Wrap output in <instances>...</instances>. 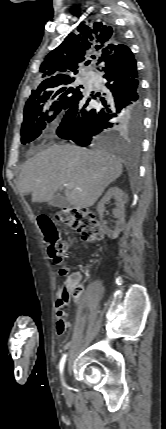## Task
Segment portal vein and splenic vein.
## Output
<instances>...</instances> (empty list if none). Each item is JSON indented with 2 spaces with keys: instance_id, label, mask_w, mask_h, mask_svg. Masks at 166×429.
<instances>
[{
  "instance_id": "obj_1",
  "label": "portal vein and splenic vein",
  "mask_w": 166,
  "mask_h": 429,
  "mask_svg": "<svg viewBox=\"0 0 166 429\" xmlns=\"http://www.w3.org/2000/svg\"><path fill=\"white\" fill-rule=\"evenodd\" d=\"M64 186H65V187H68V186H69V184H65Z\"/></svg>"
}]
</instances>
